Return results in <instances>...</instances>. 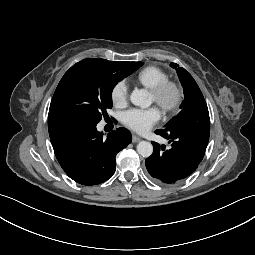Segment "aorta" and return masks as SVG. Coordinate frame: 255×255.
Here are the masks:
<instances>
[{"label":"aorta","mask_w":255,"mask_h":255,"mask_svg":"<svg viewBox=\"0 0 255 255\" xmlns=\"http://www.w3.org/2000/svg\"><path fill=\"white\" fill-rule=\"evenodd\" d=\"M130 101L135 106L142 108H147L152 103L150 95L145 89L134 90L130 95ZM137 152L143 157H149L153 153V146L148 141H141L137 145Z\"/></svg>","instance_id":"obj_1"}]
</instances>
